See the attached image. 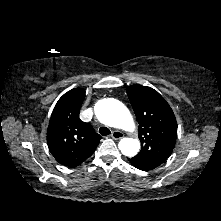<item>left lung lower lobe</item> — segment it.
Listing matches in <instances>:
<instances>
[{"label":"left lung lower lobe","instance_id":"1","mask_svg":"<svg viewBox=\"0 0 221 221\" xmlns=\"http://www.w3.org/2000/svg\"><path fill=\"white\" fill-rule=\"evenodd\" d=\"M129 161L132 163V165H134L136 168L140 169V170H152L154 168H156L157 166L152 164V163H148L145 162L143 160H140L136 157H133L131 159H129Z\"/></svg>","mask_w":221,"mask_h":221}]
</instances>
